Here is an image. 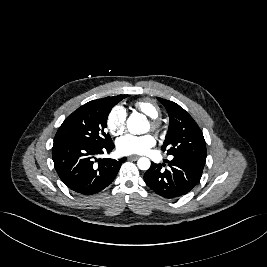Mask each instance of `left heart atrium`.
Masks as SVG:
<instances>
[{
    "mask_svg": "<svg viewBox=\"0 0 267 267\" xmlns=\"http://www.w3.org/2000/svg\"><path fill=\"white\" fill-rule=\"evenodd\" d=\"M156 144V139L150 134L136 136L126 134L116 142L117 150L122 155L146 154Z\"/></svg>",
    "mask_w": 267,
    "mask_h": 267,
    "instance_id": "obj_1",
    "label": "left heart atrium"
}]
</instances>
